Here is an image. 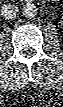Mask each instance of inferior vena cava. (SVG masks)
I'll list each match as a JSON object with an SVG mask.
<instances>
[{
  "mask_svg": "<svg viewBox=\"0 0 63 107\" xmlns=\"http://www.w3.org/2000/svg\"><path fill=\"white\" fill-rule=\"evenodd\" d=\"M18 12V7L14 4H4L1 8V15L6 19L15 18Z\"/></svg>",
  "mask_w": 63,
  "mask_h": 107,
  "instance_id": "inferior-vena-cava-1",
  "label": "inferior vena cava"
}]
</instances>
